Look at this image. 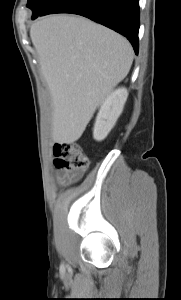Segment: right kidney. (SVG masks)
<instances>
[{
    "label": "right kidney",
    "instance_id": "1",
    "mask_svg": "<svg viewBox=\"0 0 181 300\" xmlns=\"http://www.w3.org/2000/svg\"><path fill=\"white\" fill-rule=\"evenodd\" d=\"M127 97V89L121 87L112 91L105 98L97 114L93 129V138L96 141L104 140L112 130L123 111Z\"/></svg>",
    "mask_w": 181,
    "mask_h": 300
}]
</instances>
